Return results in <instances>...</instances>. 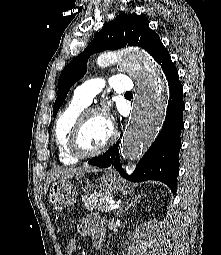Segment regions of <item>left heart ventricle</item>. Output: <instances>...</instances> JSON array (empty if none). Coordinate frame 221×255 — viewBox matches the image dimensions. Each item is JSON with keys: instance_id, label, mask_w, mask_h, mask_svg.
Segmentation results:
<instances>
[{"instance_id": "left-heart-ventricle-1", "label": "left heart ventricle", "mask_w": 221, "mask_h": 255, "mask_svg": "<svg viewBox=\"0 0 221 255\" xmlns=\"http://www.w3.org/2000/svg\"><path fill=\"white\" fill-rule=\"evenodd\" d=\"M109 136V125L105 118L92 115L85 123L81 134V146L85 151L99 149Z\"/></svg>"}]
</instances>
